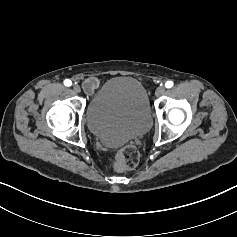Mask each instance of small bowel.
Segmentation results:
<instances>
[{"label":"small bowel","instance_id":"1","mask_svg":"<svg viewBox=\"0 0 237 237\" xmlns=\"http://www.w3.org/2000/svg\"><path fill=\"white\" fill-rule=\"evenodd\" d=\"M99 85V80L96 77H90L84 82V88L88 93H92Z\"/></svg>","mask_w":237,"mask_h":237}]
</instances>
